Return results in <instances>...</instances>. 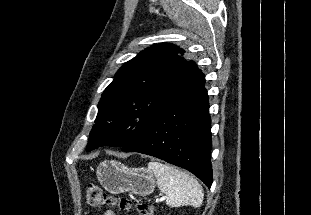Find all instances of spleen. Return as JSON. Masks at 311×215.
<instances>
[{"label":"spleen","instance_id":"1","mask_svg":"<svg viewBox=\"0 0 311 215\" xmlns=\"http://www.w3.org/2000/svg\"><path fill=\"white\" fill-rule=\"evenodd\" d=\"M148 169L154 174L159 190L166 194L168 206H201L203 188L188 173L157 161L149 162Z\"/></svg>","mask_w":311,"mask_h":215}]
</instances>
